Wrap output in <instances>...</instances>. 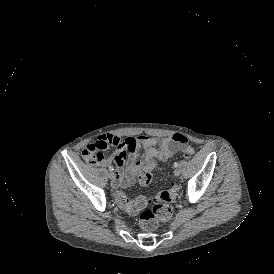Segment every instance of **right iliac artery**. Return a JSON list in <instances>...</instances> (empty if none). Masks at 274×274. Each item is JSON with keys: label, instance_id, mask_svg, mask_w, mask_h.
I'll list each match as a JSON object with an SVG mask.
<instances>
[{"label": "right iliac artery", "instance_id": "82829eb1", "mask_svg": "<svg viewBox=\"0 0 274 274\" xmlns=\"http://www.w3.org/2000/svg\"><path fill=\"white\" fill-rule=\"evenodd\" d=\"M109 170H110V171H113V170H114V168H113L112 166H110V167H109Z\"/></svg>", "mask_w": 274, "mask_h": 274}]
</instances>
